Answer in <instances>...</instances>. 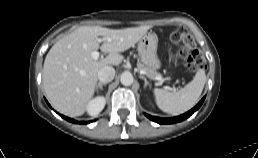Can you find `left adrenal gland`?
<instances>
[{"label": "left adrenal gland", "mask_w": 258, "mask_h": 158, "mask_svg": "<svg viewBox=\"0 0 258 158\" xmlns=\"http://www.w3.org/2000/svg\"><path fill=\"white\" fill-rule=\"evenodd\" d=\"M140 78L144 80V87L146 88L149 84L148 80L142 75H140Z\"/></svg>", "instance_id": "obj_1"}]
</instances>
